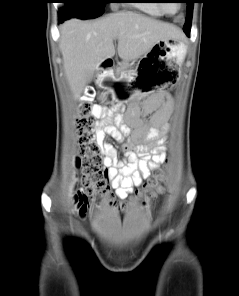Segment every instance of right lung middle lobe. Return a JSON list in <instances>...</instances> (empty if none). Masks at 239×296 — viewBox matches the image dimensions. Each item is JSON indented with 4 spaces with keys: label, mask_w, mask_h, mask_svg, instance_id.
Segmentation results:
<instances>
[{
    "label": "right lung middle lobe",
    "mask_w": 239,
    "mask_h": 296,
    "mask_svg": "<svg viewBox=\"0 0 239 296\" xmlns=\"http://www.w3.org/2000/svg\"><path fill=\"white\" fill-rule=\"evenodd\" d=\"M112 2L111 0H62L65 3L66 9L62 10L59 14L63 15L66 19L71 17H78L82 19L96 18L100 16L106 3Z\"/></svg>",
    "instance_id": "obj_1"
}]
</instances>
